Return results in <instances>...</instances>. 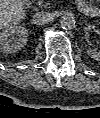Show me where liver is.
<instances>
[{"label":"liver","mask_w":100,"mask_h":118,"mask_svg":"<svg viewBox=\"0 0 100 118\" xmlns=\"http://www.w3.org/2000/svg\"><path fill=\"white\" fill-rule=\"evenodd\" d=\"M24 10L19 0H1L0 21L1 27L8 24L15 25L24 18Z\"/></svg>","instance_id":"6515ba94"}]
</instances>
